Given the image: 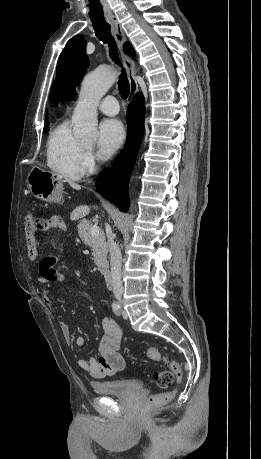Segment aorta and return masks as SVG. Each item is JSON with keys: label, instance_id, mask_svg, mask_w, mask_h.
I'll list each match as a JSON object with an SVG mask.
<instances>
[{"label": "aorta", "instance_id": "obj_1", "mask_svg": "<svg viewBox=\"0 0 261 459\" xmlns=\"http://www.w3.org/2000/svg\"><path fill=\"white\" fill-rule=\"evenodd\" d=\"M116 78L117 73L109 67L99 68L84 78L72 116L75 137L89 141L97 138V106Z\"/></svg>", "mask_w": 261, "mask_h": 459}]
</instances>
